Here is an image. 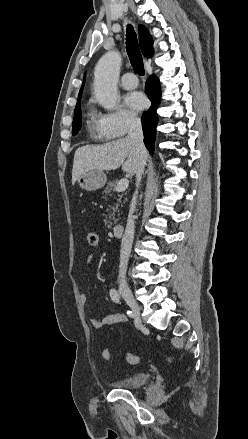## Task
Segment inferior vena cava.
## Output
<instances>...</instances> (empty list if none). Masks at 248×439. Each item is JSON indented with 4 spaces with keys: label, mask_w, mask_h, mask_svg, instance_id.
Returning <instances> with one entry per match:
<instances>
[{
    "label": "inferior vena cava",
    "mask_w": 248,
    "mask_h": 439,
    "mask_svg": "<svg viewBox=\"0 0 248 439\" xmlns=\"http://www.w3.org/2000/svg\"><path fill=\"white\" fill-rule=\"evenodd\" d=\"M127 138L133 142L135 149L139 153V165L136 171V191L133 195L129 217L127 220L126 230L121 242L120 250V264H119V279L120 282L126 284V270L129 261V256L132 248V243L134 239V216L133 213L136 207V200L138 195V187L142 175L144 173V168L147 160V152L143 144V131L140 119L137 117H130L128 119V135Z\"/></svg>",
    "instance_id": "obj_1"
}]
</instances>
